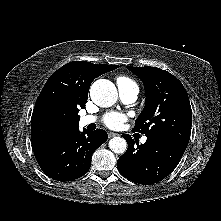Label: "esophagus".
<instances>
[{
	"label": "esophagus",
	"instance_id": "obj_1",
	"mask_svg": "<svg viewBox=\"0 0 221 221\" xmlns=\"http://www.w3.org/2000/svg\"><path fill=\"white\" fill-rule=\"evenodd\" d=\"M119 134L118 133H115V132H109L108 133V137L109 138H112V137H115V136H118Z\"/></svg>",
	"mask_w": 221,
	"mask_h": 221
}]
</instances>
